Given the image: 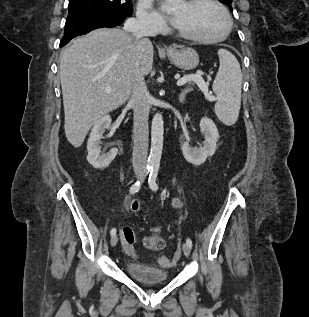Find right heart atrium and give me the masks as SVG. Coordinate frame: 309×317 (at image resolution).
<instances>
[{"label": "right heart atrium", "mask_w": 309, "mask_h": 317, "mask_svg": "<svg viewBox=\"0 0 309 317\" xmlns=\"http://www.w3.org/2000/svg\"><path fill=\"white\" fill-rule=\"evenodd\" d=\"M136 19L145 31H159L165 27L163 18L152 9L150 0H139Z\"/></svg>", "instance_id": "obj_1"}]
</instances>
